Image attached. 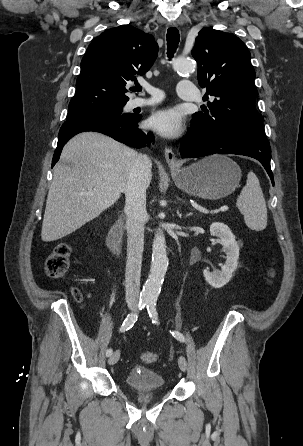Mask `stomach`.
Here are the masks:
<instances>
[{"label":"stomach","mask_w":303,"mask_h":446,"mask_svg":"<svg viewBox=\"0 0 303 446\" xmlns=\"http://www.w3.org/2000/svg\"><path fill=\"white\" fill-rule=\"evenodd\" d=\"M176 186L205 199L217 200L230 195L239 185V165L224 155H212L187 167H171Z\"/></svg>","instance_id":"obj_1"}]
</instances>
